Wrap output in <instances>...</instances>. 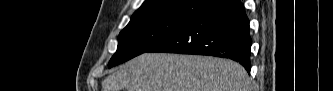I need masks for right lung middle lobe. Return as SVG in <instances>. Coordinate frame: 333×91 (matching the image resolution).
I'll use <instances>...</instances> for the list:
<instances>
[{
	"label": "right lung middle lobe",
	"mask_w": 333,
	"mask_h": 91,
	"mask_svg": "<svg viewBox=\"0 0 333 91\" xmlns=\"http://www.w3.org/2000/svg\"><path fill=\"white\" fill-rule=\"evenodd\" d=\"M215 2L217 1L206 0L202 7L206 9ZM191 19L174 16H149L131 19L119 34L117 51L109 61L108 67L111 68L147 52L181 29Z\"/></svg>",
	"instance_id": "dd1d6c3e"
}]
</instances>
